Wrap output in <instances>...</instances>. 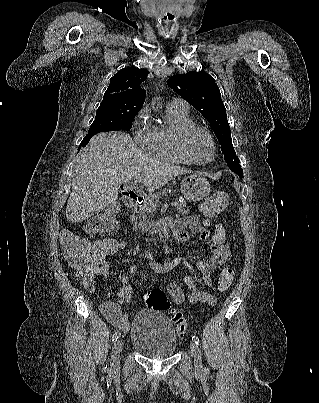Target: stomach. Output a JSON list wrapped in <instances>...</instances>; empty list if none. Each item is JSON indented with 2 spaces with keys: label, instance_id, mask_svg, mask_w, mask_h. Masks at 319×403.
Segmentation results:
<instances>
[{
  "label": "stomach",
  "instance_id": "1",
  "mask_svg": "<svg viewBox=\"0 0 319 403\" xmlns=\"http://www.w3.org/2000/svg\"><path fill=\"white\" fill-rule=\"evenodd\" d=\"M180 189L184 198L191 202L204 199L211 191L207 179L197 174L185 176Z\"/></svg>",
  "mask_w": 319,
  "mask_h": 403
}]
</instances>
